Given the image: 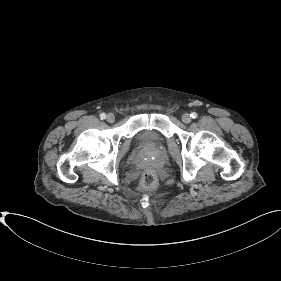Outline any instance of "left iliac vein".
Instances as JSON below:
<instances>
[{
	"label": "left iliac vein",
	"mask_w": 281,
	"mask_h": 281,
	"mask_svg": "<svg viewBox=\"0 0 281 281\" xmlns=\"http://www.w3.org/2000/svg\"><path fill=\"white\" fill-rule=\"evenodd\" d=\"M192 120L191 116L188 113L183 114L182 121L186 124L190 123Z\"/></svg>",
	"instance_id": "obj_1"
}]
</instances>
